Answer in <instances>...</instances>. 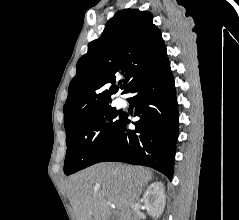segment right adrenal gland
Returning a JSON list of instances; mask_svg holds the SVG:
<instances>
[{"mask_svg":"<svg viewBox=\"0 0 239 220\" xmlns=\"http://www.w3.org/2000/svg\"><path fill=\"white\" fill-rule=\"evenodd\" d=\"M144 187H145V185L141 188L140 193L142 192V190H143Z\"/></svg>","mask_w":239,"mask_h":220,"instance_id":"2a0ac1e0","label":"right adrenal gland"}]
</instances>
